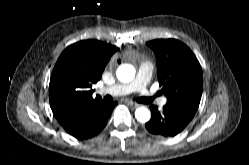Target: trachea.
<instances>
[{
  "instance_id": "1",
  "label": "trachea",
  "mask_w": 249,
  "mask_h": 165,
  "mask_svg": "<svg viewBox=\"0 0 249 165\" xmlns=\"http://www.w3.org/2000/svg\"><path fill=\"white\" fill-rule=\"evenodd\" d=\"M104 100L107 101V102H111V101H113V98H112V96H110V95H106V96L104 97ZM137 102H139V103H144V104H148V103H150L151 101L148 100V99H146V98L140 97V98L137 99Z\"/></svg>"
}]
</instances>
